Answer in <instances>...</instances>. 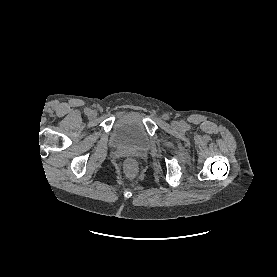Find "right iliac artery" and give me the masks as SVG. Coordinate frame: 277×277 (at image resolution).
<instances>
[{
	"mask_svg": "<svg viewBox=\"0 0 277 277\" xmlns=\"http://www.w3.org/2000/svg\"><path fill=\"white\" fill-rule=\"evenodd\" d=\"M84 112H85L86 114L89 115V113L91 112V109H90V108H86V109L84 110Z\"/></svg>",
	"mask_w": 277,
	"mask_h": 277,
	"instance_id": "obj_1",
	"label": "right iliac artery"
}]
</instances>
